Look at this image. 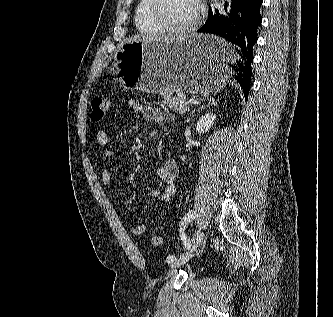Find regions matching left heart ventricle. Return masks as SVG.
Segmentation results:
<instances>
[{
  "mask_svg": "<svg viewBox=\"0 0 333 317\" xmlns=\"http://www.w3.org/2000/svg\"><path fill=\"white\" fill-rule=\"evenodd\" d=\"M196 12L195 0H160V16L174 27L188 26L194 20Z\"/></svg>",
  "mask_w": 333,
  "mask_h": 317,
  "instance_id": "b2bd125f",
  "label": "left heart ventricle"
}]
</instances>
